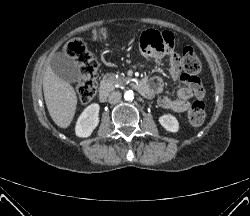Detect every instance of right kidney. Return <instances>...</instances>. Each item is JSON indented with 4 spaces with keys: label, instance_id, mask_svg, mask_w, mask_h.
<instances>
[{
    "label": "right kidney",
    "instance_id": "ca27d5eb",
    "mask_svg": "<svg viewBox=\"0 0 250 216\" xmlns=\"http://www.w3.org/2000/svg\"><path fill=\"white\" fill-rule=\"evenodd\" d=\"M99 109L100 106L97 103L84 109L75 126V133L78 137L87 138L92 134L99 124Z\"/></svg>",
    "mask_w": 250,
    "mask_h": 216
}]
</instances>
